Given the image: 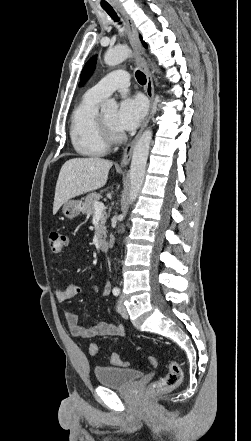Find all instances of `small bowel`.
I'll return each mask as SVG.
<instances>
[{"label":"small bowel","instance_id":"1","mask_svg":"<svg viewBox=\"0 0 251 441\" xmlns=\"http://www.w3.org/2000/svg\"><path fill=\"white\" fill-rule=\"evenodd\" d=\"M109 282L105 281L100 289V294L106 296L109 293ZM83 288L75 284H68L63 289L55 291L56 299L63 303L74 298L77 294L82 292ZM64 316L71 333L79 338H93L98 336H117L125 335V329L122 325H116L108 322H98L91 327H85L80 324L79 318L76 314L70 311H65Z\"/></svg>","mask_w":251,"mask_h":441}]
</instances>
